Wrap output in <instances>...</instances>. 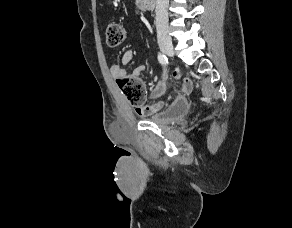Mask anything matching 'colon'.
Listing matches in <instances>:
<instances>
[{
    "label": "colon",
    "mask_w": 292,
    "mask_h": 228,
    "mask_svg": "<svg viewBox=\"0 0 292 228\" xmlns=\"http://www.w3.org/2000/svg\"><path fill=\"white\" fill-rule=\"evenodd\" d=\"M127 39L126 29L116 22H110L106 27V40L110 46H118ZM122 94L130 105L140 108L145 99V91L138 77L125 76L117 79Z\"/></svg>",
    "instance_id": "1"
}]
</instances>
